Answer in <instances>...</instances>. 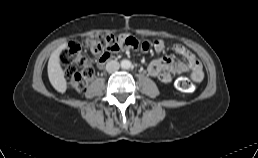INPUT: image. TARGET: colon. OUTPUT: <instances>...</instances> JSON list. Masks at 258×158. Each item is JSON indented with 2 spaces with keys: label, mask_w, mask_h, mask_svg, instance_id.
<instances>
[{
  "label": "colon",
  "mask_w": 258,
  "mask_h": 158,
  "mask_svg": "<svg viewBox=\"0 0 258 158\" xmlns=\"http://www.w3.org/2000/svg\"><path fill=\"white\" fill-rule=\"evenodd\" d=\"M137 45L138 41L127 35H91L87 36L82 44L70 42L60 55L69 86L74 91L83 93L94 76L84 49L99 59H106L123 48H135ZM177 87L182 92L192 93L196 84L193 79L183 77L177 81Z\"/></svg>",
  "instance_id": "obj_1"
}]
</instances>
